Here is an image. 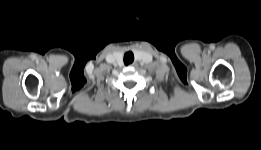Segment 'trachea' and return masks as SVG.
<instances>
[{"mask_svg":"<svg viewBox=\"0 0 261 150\" xmlns=\"http://www.w3.org/2000/svg\"><path fill=\"white\" fill-rule=\"evenodd\" d=\"M134 61V55L132 52H127L124 55V63L125 65H128Z\"/></svg>","mask_w":261,"mask_h":150,"instance_id":"1","label":"trachea"}]
</instances>
